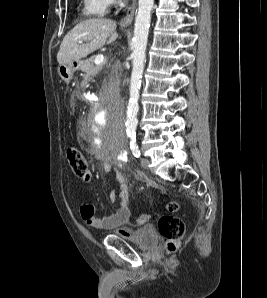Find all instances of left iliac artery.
I'll use <instances>...</instances> for the list:
<instances>
[{"instance_id": "obj_1", "label": "left iliac artery", "mask_w": 267, "mask_h": 298, "mask_svg": "<svg viewBox=\"0 0 267 298\" xmlns=\"http://www.w3.org/2000/svg\"><path fill=\"white\" fill-rule=\"evenodd\" d=\"M130 148L132 150V154L136 157L139 158L141 153L138 147V144L136 143V136L133 135L130 137Z\"/></svg>"}]
</instances>
